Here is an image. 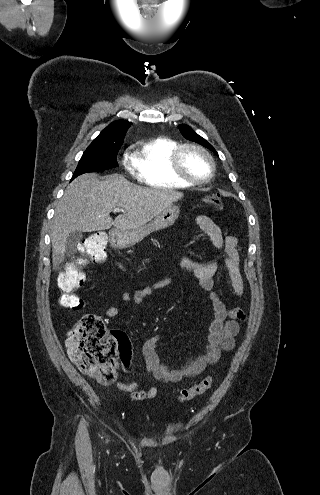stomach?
I'll return each mask as SVG.
<instances>
[{"instance_id": "stomach-1", "label": "stomach", "mask_w": 320, "mask_h": 495, "mask_svg": "<svg viewBox=\"0 0 320 495\" xmlns=\"http://www.w3.org/2000/svg\"><path fill=\"white\" fill-rule=\"evenodd\" d=\"M179 213V207L171 205L158 214L150 223L139 228L124 231H112L110 233V242L118 248L133 246L149 234L166 229L173 225L178 218Z\"/></svg>"}]
</instances>
